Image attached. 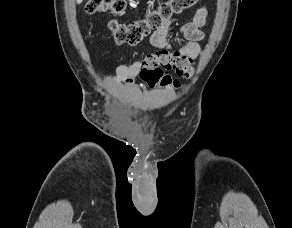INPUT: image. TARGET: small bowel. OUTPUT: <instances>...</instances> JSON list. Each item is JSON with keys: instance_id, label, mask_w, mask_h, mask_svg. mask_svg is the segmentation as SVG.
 I'll list each match as a JSON object with an SVG mask.
<instances>
[{"instance_id": "c3829d8e", "label": "small bowel", "mask_w": 292, "mask_h": 228, "mask_svg": "<svg viewBox=\"0 0 292 228\" xmlns=\"http://www.w3.org/2000/svg\"><path fill=\"white\" fill-rule=\"evenodd\" d=\"M162 0L156 1V6L161 3ZM208 15V9L205 6L198 8L194 14L192 21L184 24L181 27L182 35L188 40V43L177 49L172 50L167 36L170 29V21L165 20L150 36V43L153 47L158 49V52L176 53L182 58L186 64L192 66V63L201 52L200 42L204 39L205 34L201 28L206 23ZM143 67V61L137 60L130 65H119L117 72L125 77L134 79L139 76Z\"/></svg>"}]
</instances>
